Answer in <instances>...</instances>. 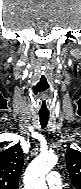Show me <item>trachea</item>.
<instances>
[{"instance_id": "3493384b", "label": "trachea", "mask_w": 81, "mask_h": 189, "mask_svg": "<svg viewBox=\"0 0 81 189\" xmlns=\"http://www.w3.org/2000/svg\"><path fill=\"white\" fill-rule=\"evenodd\" d=\"M39 117H40V125H41L42 129H44L48 123L49 112H40Z\"/></svg>"}]
</instances>
